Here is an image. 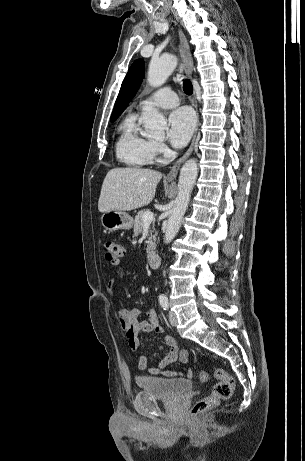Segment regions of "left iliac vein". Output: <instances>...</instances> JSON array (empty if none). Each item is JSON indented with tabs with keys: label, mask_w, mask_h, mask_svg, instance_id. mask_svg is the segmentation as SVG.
I'll use <instances>...</instances> for the list:
<instances>
[{
	"label": "left iliac vein",
	"mask_w": 305,
	"mask_h": 461,
	"mask_svg": "<svg viewBox=\"0 0 305 461\" xmlns=\"http://www.w3.org/2000/svg\"><path fill=\"white\" fill-rule=\"evenodd\" d=\"M169 320L172 326H176L178 324L177 316L173 311L169 312Z\"/></svg>",
	"instance_id": "left-iliac-vein-1"
}]
</instances>
